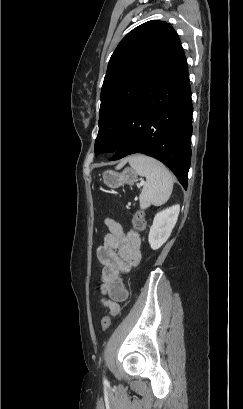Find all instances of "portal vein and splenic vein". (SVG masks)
Segmentation results:
<instances>
[{"label": "portal vein and splenic vein", "mask_w": 243, "mask_h": 409, "mask_svg": "<svg viewBox=\"0 0 243 409\" xmlns=\"http://www.w3.org/2000/svg\"><path fill=\"white\" fill-rule=\"evenodd\" d=\"M144 184V182H141L139 186H142Z\"/></svg>", "instance_id": "portal-vein-and-splenic-vein-1"}]
</instances>
